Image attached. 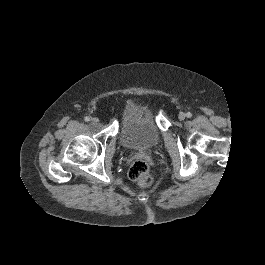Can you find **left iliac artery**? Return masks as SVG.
I'll return each mask as SVG.
<instances>
[{
  "label": "left iliac artery",
  "instance_id": "44dca946",
  "mask_svg": "<svg viewBox=\"0 0 265 265\" xmlns=\"http://www.w3.org/2000/svg\"><path fill=\"white\" fill-rule=\"evenodd\" d=\"M186 116H187L188 118H191V117H192L191 112H187V113H186Z\"/></svg>",
  "mask_w": 265,
  "mask_h": 265
}]
</instances>
